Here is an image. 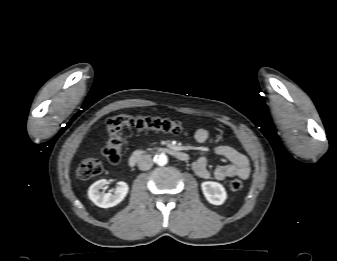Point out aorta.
I'll return each mask as SVG.
<instances>
[{
    "label": "aorta",
    "instance_id": "aorta-1",
    "mask_svg": "<svg viewBox=\"0 0 337 261\" xmlns=\"http://www.w3.org/2000/svg\"><path fill=\"white\" fill-rule=\"evenodd\" d=\"M155 162L159 165V166H164L167 164L168 162V158L164 153L158 154L155 157Z\"/></svg>",
    "mask_w": 337,
    "mask_h": 261
}]
</instances>
